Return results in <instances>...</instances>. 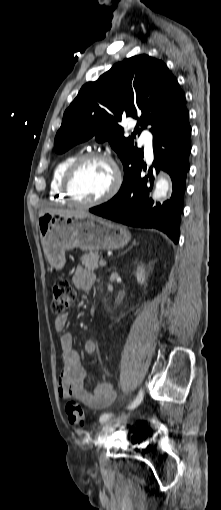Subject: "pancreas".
<instances>
[{"mask_svg": "<svg viewBox=\"0 0 221 510\" xmlns=\"http://www.w3.org/2000/svg\"><path fill=\"white\" fill-rule=\"evenodd\" d=\"M98 258H99L98 252H90V253L84 254L80 259H81L82 265H84L86 269L93 271L99 267Z\"/></svg>", "mask_w": 221, "mask_h": 510, "instance_id": "pancreas-1", "label": "pancreas"}]
</instances>
